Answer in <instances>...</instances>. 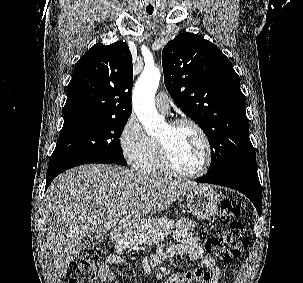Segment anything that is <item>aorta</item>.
Listing matches in <instances>:
<instances>
[{
  "instance_id": "1",
  "label": "aorta",
  "mask_w": 303,
  "mask_h": 283,
  "mask_svg": "<svg viewBox=\"0 0 303 283\" xmlns=\"http://www.w3.org/2000/svg\"><path fill=\"white\" fill-rule=\"evenodd\" d=\"M161 78L157 67H145L133 91V108L148 135L156 134L164 125L158 114L154 98Z\"/></svg>"
}]
</instances>
